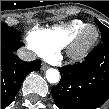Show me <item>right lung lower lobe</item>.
<instances>
[{"label":"right lung lower lobe","mask_w":109,"mask_h":109,"mask_svg":"<svg viewBox=\"0 0 109 109\" xmlns=\"http://www.w3.org/2000/svg\"><path fill=\"white\" fill-rule=\"evenodd\" d=\"M21 46L20 40L1 35V109L12 103L27 74L41 66L39 59L32 62L19 59L14 51Z\"/></svg>","instance_id":"1"}]
</instances>
